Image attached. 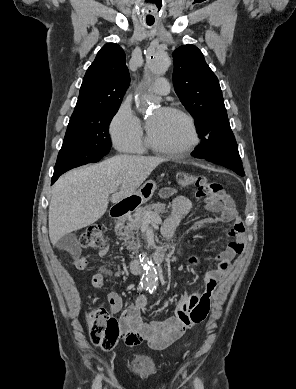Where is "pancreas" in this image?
Here are the masks:
<instances>
[{
	"instance_id": "cf45deb5",
	"label": "pancreas",
	"mask_w": 296,
	"mask_h": 389,
	"mask_svg": "<svg viewBox=\"0 0 296 389\" xmlns=\"http://www.w3.org/2000/svg\"><path fill=\"white\" fill-rule=\"evenodd\" d=\"M147 212L158 216L162 213H166L167 210L165 209V204L160 202L153 203L144 207H139L133 215L128 214L116 222L115 231L117 232V235L121 236V239L124 240L127 249H131L133 242L130 239L134 234H138L141 222Z\"/></svg>"
}]
</instances>
